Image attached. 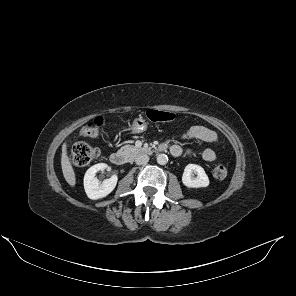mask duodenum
I'll use <instances>...</instances> for the list:
<instances>
[{
	"mask_svg": "<svg viewBox=\"0 0 296 296\" xmlns=\"http://www.w3.org/2000/svg\"><path fill=\"white\" fill-rule=\"evenodd\" d=\"M166 148H167L166 146H160L159 148L150 147V148H146L144 152L146 154H153V153L158 152V151H163ZM109 158H110L111 163L114 164V165H117V166L124 165L128 161V157L125 154L121 153V152H112L110 154Z\"/></svg>",
	"mask_w": 296,
	"mask_h": 296,
	"instance_id": "1",
	"label": "duodenum"
}]
</instances>
